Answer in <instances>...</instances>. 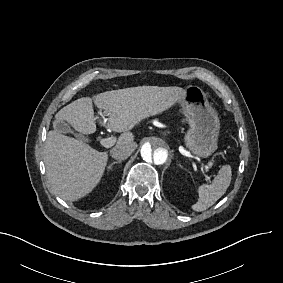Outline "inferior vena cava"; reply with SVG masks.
<instances>
[{"instance_id":"inferior-vena-cava-1","label":"inferior vena cava","mask_w":283,"mask_h":283,"mask_svg":"<svg viewBox=\"0 0 283 283\" xmlns=\"http://www.w3.org/2000/svg\"><path fill=\"white\" fill-rule=\"evenodd\" d=\"M133 151H134V148L131 146H128L126 144H118V145H115V147L111 149L110 153L114 159L123 161L127 159L129 156H131Z\"/></svg>"}]
</instances>
